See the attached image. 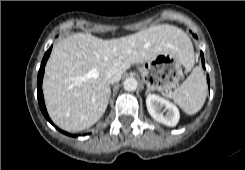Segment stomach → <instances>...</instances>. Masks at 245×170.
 I'll list each match as a JSON object with an SVG mask.
<instances>
[{
    "label": "stomach",
    "instance_id": "obj_1",
    "mask_svg": "<svg viewBox=\"0 0 245 170\" xmlns=\"http://www.w3.org/2000/svg\"><path fill=\"white\" fill-rule=\"evenodd\" d=\"M182 65L176 53L166 52L144 62L140 67V73L149 90L168 92L181 80Z\"/></svg>",
    "mask_w": 245,
    "mask_h": 170
}]
</instances>
